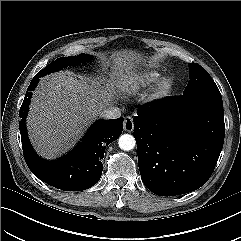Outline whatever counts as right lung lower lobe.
Instances as JSON below:
<instances>
[{
    "instance_id": "1",
    "label": "right lung lower lobe",
    "mask_w": 241,
    "mask_h": 241,
    "mask_svg": "<svg viewBox=\"0 0 241 241\" xmlns=\"http://www.w3.org/2000/svg\"><path fill=\"white\" fill-rule=\"evenodd\" d=\"M40 77L35 76L20 108L19 122L24 159L31 172L43 182L64 191H81L95 185L101 177V160L107 145L116 140L123 130V119L98 120L79 144L67 155L46 161L34 152L25 126L28 105Z\"/></svg>"
}]
</instances>
